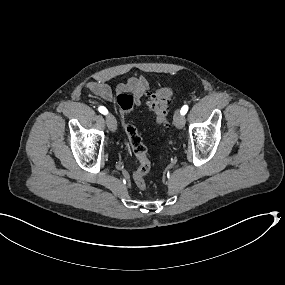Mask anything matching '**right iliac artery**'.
<instances>
[{
  "instance_id": "obj_1",
  "label": "right iliac artery",
  "mask_w": 285,
  "mask_h": 285,
  "mask_svg": "<svg viewBox=\"0 0 285 285\" xmlns=\"http://www.w3.org/2000/svg\"><path fill=\"white\" fill-rule=\"evenodd\" d=\"M99 112L106 115L108 113V110L104 106H100L98 108Z\"/></svg>"
}]
</instances>
